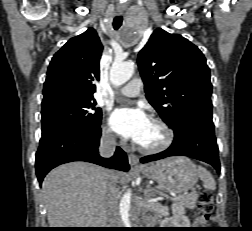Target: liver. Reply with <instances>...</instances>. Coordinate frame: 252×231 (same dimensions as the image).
<instances>
[{"label":"liver","instance_id":"obj_1","mask_svg":"<svg viewBox=\"0 0 252 231\" xmlns=\"http://www.w3.org/2000/svg\"><path fill=\"white\" fill-rule=\"evenodd\" d=\"M121 173L85 162H71L52 170L42 193L50 228H103L107 184Z\"/></svg>","mask_w":252,"mask_h":231}]
</instances>
